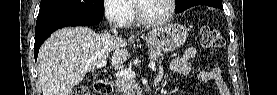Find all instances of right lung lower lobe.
<instances>
[{"label": "right lung lower lobe", "mask_w": 277, "mask_h": 95, "mask_svg": "<svg viewBox=\"0 0 277 95\" xmlns=\"http://www.w3.org/2000/svg\"><path fill=\"white\" fill-rule=\"evenodd\" d=\"M103 15L57 16L36 21L34 56L37 59L42 43L57 29L67 26H93L99 24Z\"/></svg>", "instance_id": "1"}]
</instances>
